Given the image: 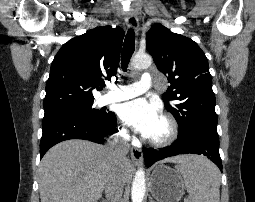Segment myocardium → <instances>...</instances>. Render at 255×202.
<instances>
[{
	"label": "myocardium",
	"instance_id": "f54148a6",
	"mask_svg": "<svg viewBox=\"0 0 255 202\" xmlns=\"http://www.w3.org/2000/svg\"><path fill=\"white\" fill-rule=\"evenodd\" d=\"M161 119L166 124L167 132L164 136L159 138L148 137V142L157 147L167 146L172 144L178 137L179 126L175 118L169 114H164Z\"/></svg>",
	"mask_w": 255,
	"mask_h": 202
}]
</instances>
